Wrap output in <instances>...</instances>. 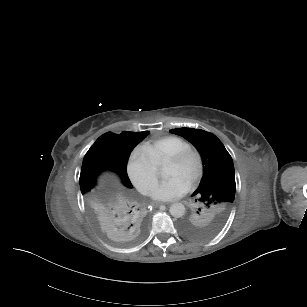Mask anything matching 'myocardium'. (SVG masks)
Masks as SVG:
<instances>
[{
	"label": "myocardium",
	"mask_w": 307,
	"mask_h": 307,
	"mask_svg": "<svg viewBox=\"0 0 307 307\" xmlns=\"http://www.w3.org/2000/svg\"><path fill=\"white\" fill-rule=\"evenodd\" d=\"M192 153H197L199 156V166L197 171L190 177L188 180L189 184H194L198 180H200L206 171L207 161H206V155L202 147L191 143L190 145L186 146L185 148L179 150L178 152L169 155L167 157L168 161H171L173 163H182L184 162L188 156Z\"/></svg>",
	"instance_id": "1"
}]
</instances>
